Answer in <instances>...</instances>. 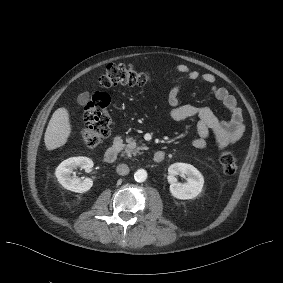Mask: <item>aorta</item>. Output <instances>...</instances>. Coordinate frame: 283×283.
<instances>
[{"mask_svg": "<svg viewBox=\"0 0 283 283\" xmlns=\"http://www.w3.org/2000/svg\"><path fill=\"white\" fill-rule=\"evenodd\" d=\"M134 178L137 182H144L147 179V172L144 169H139L135 172Z\"/></svg>", "mask_w": 283, "mask_h": 283, "instance_id": "1", "label": "aorta"}]
</instances>
